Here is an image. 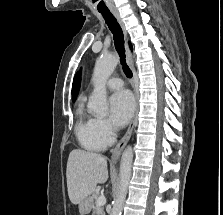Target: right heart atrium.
I'll return each instance as SVG.
<instances>
[{
    "instance_id": "right-heart-atrium-1",
    "label": "right heart atrium",
    "mask_w": 223,
    "mask_h": 215,
    "mask_svg": "<svg viewBox=\"0 0 223 215\" xmlns=\"http://www.w3.org/2000/svg\"><path fill=\"white\" fill-rule=\"evenodd\" d=\"M96 128L102 138L109 141L114 136V129L110 122L104 118H96Z\"/></svg>"
}]
</instances>
